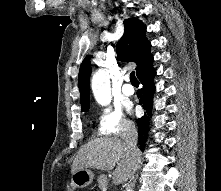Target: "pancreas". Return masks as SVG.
Segmentation results:
<instances>
[{
    "label": "pancreas",
    "mask_w": 221,
    "mask_h": 191,
    "mask_svg": "<svg viewBox=\"0 0 221 191\" xmlns=\"http://www.w3.org/2000/svg\"><path fill=\"white\" fill-rule=\"evenodd\" d=\"M97 182H98V186L100 189H103L104 187H106L108 181H107V176L105 174H101L98 179H97Z\"/></svg>",
    "instance_id": "1"
}]
</instances>
